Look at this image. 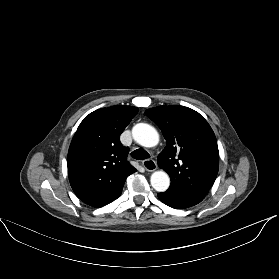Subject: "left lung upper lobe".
Returning a JSON list of instances; mask_svg holds the SVG:
<instances>
[{"instance_id": "1", "label": "left lung upper lobe", "mask_w": 279, "mask_h": 279, "mask_svg": "<svg viewBox=\"0 0 279 279\" xmlns=\"http://www.w3.org/2000/svg\"><path fill=\"white\" fill-rule=\"evenodd\" d=\"M145 114L166 139L157 162L170 176L168 191L203 200L219 168L217 141L210 125L198 112L180 105L154 107Z\"/></svg>"}]
</instances>
